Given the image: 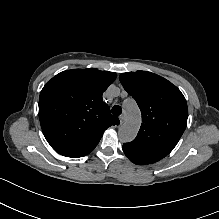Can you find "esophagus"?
<instances>
[{"mask_svg": "<svg viewBox=\"0 0 219 219\" xmlns=\"http://www.w3.org/2000/svg\"><path fill=\"white\" fill-rule=\"evenodd\" d=\"M119 120H120V123L123 124L125 122V115L124 114H121L119 116Z\"/></svg>", "mask_w": 219, "mask_h": 219, "instance_id": "1", "label": "esophagus"}]
</instances>
